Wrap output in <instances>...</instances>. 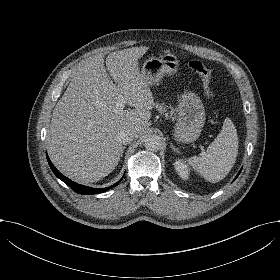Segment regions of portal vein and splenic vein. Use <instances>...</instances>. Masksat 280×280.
I'll return each mask as SVG.
<instances>
[{
    "label": "portal vein and splenic vein",
    "mask_w": 280,
    "mask_h": 280,
    "mask_svg": "<svg viewBox=\"0 0 280 280\" xmlns=\"http://www.w3.org/2000/svg\"><path fill=\"white\" fill-rule=\"evenodd\" d=\"M117 107H118L120 110L124 109V101H118Z\"/></svg>",
    "instance_id": "1"
}]
</instances>
